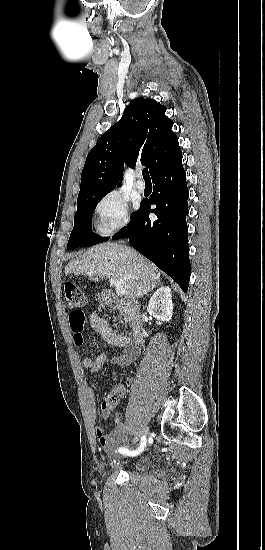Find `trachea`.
Masks as SVG:
<instances>
[{
	"label": "trachea",
	"instance_id": "3493384b",
	"mask_svg": "<svg viewBox=\"0 0 265 550\" xmlns=\"http://www.w3.org/2000/svg\"><path fill=\"white\" fill-rule=\"evenodd\" d=\"M142 175H143V178L144 180H150V175H149V172H148V169H143L142 170Z\"/></svg>",
	"mask_w": 265,
	"mask_h": 550
}]
</instances>
